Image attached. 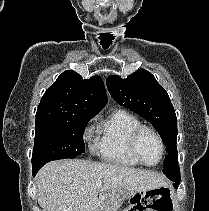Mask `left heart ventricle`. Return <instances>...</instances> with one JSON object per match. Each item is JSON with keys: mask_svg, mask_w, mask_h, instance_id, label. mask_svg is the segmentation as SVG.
Wrapping results in <instances>:
<instances>
[{"mask_svg": "<svg viewBox=\"0 0 209 211\" xmlns=\"http://www.w3.org/2000/svg\"><path fill=\"white\" fill-rule=\"evenodd\" d=\"M138 150L142 159L148 164H155L161 156V147L154 135L144 132L138 142Z\"/></svg>", "mask_w": 209, "mask_h": 211, "instance_id": "left-heart-ventricle-1", "label": "left heart ventricle"}]
</instances>
